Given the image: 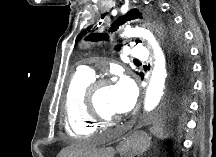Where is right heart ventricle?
Listing matches in <instances>:
<instances>
[{"mask_svg": "<svg viewBox=\"0 0 216 157\" xmlns=\"http://www.w3.org/2000/svg\"><path fill=\"white\" fill-rule=\"evenodd\" d=\"M92 81V77L79 72L72 73L69 78L62 100L63 127L69 136H89L97 129L86 106V89Z\"/></svg>", "mask_w": 216, "mask_h": 157, "instance_id": "e07e8e85", "label": "right heart ventricle"}]
</instances>
